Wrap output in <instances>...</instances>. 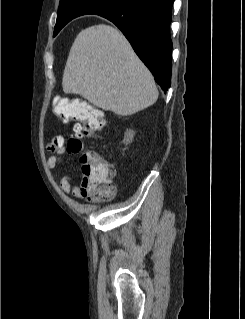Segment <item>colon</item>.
I'll return each instance as SVG.
<instances>
[{"label":"colon","instance_id":"colon-1","mask_svg":"<svg viewBox=\"0 0 245 319\" xmlns=\"http://www.w3.org/2000/svg\"><path fill=\"white\" fill-rule=\"evenodd\" d=\"M54 111L63 121H74V135L69 139L67 147L71 153L80 156L79 188L82 196L92 202L109 200L115 192L114 168L98 154L83 151L81 141L83 137L103 129V113L89 104L67 98L56 99Z\"/></svg>","mask_w":245,"mask_h":319}]
</instances>
